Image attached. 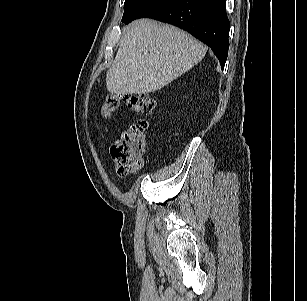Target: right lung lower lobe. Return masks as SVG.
Segmentation results:
<instances>
[{"mask_svg": "<svg viewBox=\"0 0 307 301\" xmlns=\"http://www.w3.org/2000/svg\"><path fill=\"white\" fill-rule=\"evenodd\" d=\"M143 17L167 22L188 31L211 47L224 68L230 30L226 0H162L138 18Z\"/></svg>", "mask_w": 307, "mask_h": 301, "instance_id": "obj_1", "label": "right lung lower lobe"}]
</instances>
